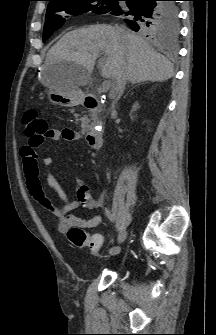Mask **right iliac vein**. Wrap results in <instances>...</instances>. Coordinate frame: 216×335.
<instances>
[{"instance_id":"obj_1","label":"right iliac vein","mask_w":216,"mask_h":335,"mask_svg":"<svg viewBox=\"0 0 216 335\" xmlns=\"http://www.w3.org/2000/svg\"><path fill=\"white\" fill-rule=\"evenodd\" d=\"M127 234H128V232H127L126 229L122 230V231L119 233V236H118V244H122V243H124V241H125L126 238H127Z\"/></svg>"}]
</instances>
